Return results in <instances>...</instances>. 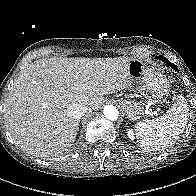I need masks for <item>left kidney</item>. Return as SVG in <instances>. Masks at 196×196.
Masks as SVG:
<instances>
[{
  "label": "left kidney",
  "instance_id": "left-kidney-1",
  "mask_svg": "<svg viewBox=\"0 0 196 196\" xmlns=\"http://www.w3.org/2000/svg\"><path fill=\"white\" fill-rule=\"evenodd\" d=\"M127 135H128V138H129L130 140L133 141V140L135 139L134 132H133L132 129H128V130H127Z\"/></svg>",
  "mask_w": 196,
  "mask_h": 196
}]
</instances>
